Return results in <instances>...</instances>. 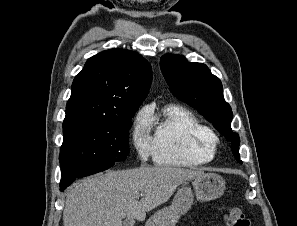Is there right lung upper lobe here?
Instances as JSON below:
<instances>
[{"instance_id": "right-lung-upper-lobe-1", "label": "right lung upper lobe", "mask_w": 297, "mask_h": 226, "mask_svg": "<svg viewBox=\"0 0 297 226\" xmlns=\"http://www.w3.org/2000/svg\"><path fill=\"white\" fill-rule=\"evenodd\" d=\"M152 81L151 65L138 53L110 49L89 58L72 83L64 121L117 120L140 105Z\"/></svg>"}]
</instances>
